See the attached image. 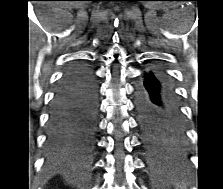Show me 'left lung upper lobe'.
Returning <instances> with one entry per match:
<instances>
[{
    "instance_id": "5c2ea615",
    "label": "left lung upper lobe",
    "mask_w": 223,
    "mask_h": 189,
    "mask_svg": "<svg viewBox=\"0 0 223 189\" xmlns=\"http://www.w3.org/2000/svg\"><path fill=\"white\" fill-rule=\"evenodd\" d=\"M144 140L149 149L154 153L166 152L178 147L182 138L169 133L161 127L141 125Z\"/></svg>"
}]
</instances>
